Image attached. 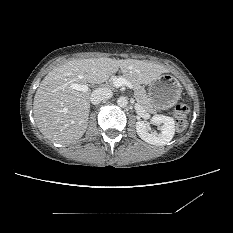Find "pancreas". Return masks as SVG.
I'll return each mask as SVG.
<instances>
[{"label":"pancreas","mask_w":233,"mask_h":233,"mask_svg":"<svg viewBox=\"0 0 233 233\" xmlns=\"http://www.w3.org/2000/svg\"><path fill=\"white\" fill-rule=\"evenodd\" d=\"M125 78L124 76H120ZM116 79V78H115ZM115 79H112V83ZM126 79V78H125ZM127 81H129L128 79H126ZM131 82V81H129ZM132 86H133V90H134V97L136 99V101L146 110L153 112L154 109L151 105V103L149 102L148 96L146 94L145 89L140 86L138 83L135 82H131Z\"/></svg>","instance_id":"cf45deb5"}]
</instances>
